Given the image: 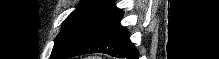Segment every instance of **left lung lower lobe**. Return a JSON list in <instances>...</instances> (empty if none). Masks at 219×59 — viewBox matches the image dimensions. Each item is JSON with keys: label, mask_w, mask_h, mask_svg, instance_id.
<instances>
[{"label": "left lung lower lobe", "mask_w": 219, "mask_h": 59, "mask_svg": "<svg viewBox=\"0 0 219 59\" xmlns=\"http://www.w3.org/2000/svg\"><path fill=\"white\" fill-rule=\"evenodd\" d=\"M122 17V10L110 1L92 33L67 58L99 52L122 59H138L129 31L120 24Z\"/></svg>", "instance_id": "obj_1"}]
</instances>
